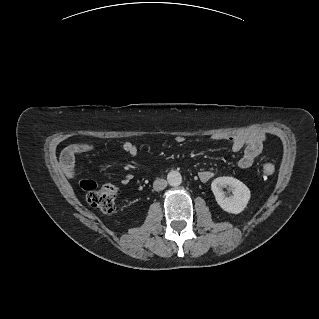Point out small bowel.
I'll return each instance as SVG.
<instances>
[{"mask_svg":"<svg viewBox=\"0 0 319 319\" xmlns=\"http://www.w3.org/2000/svg\"><path fill=\"white\" fill-rule=\"evenodd\" d=\"M214 139L219 142L228 143L233 152L243 151L242 156L237 162V166L240 169H247L253 165L262 151L264 134L259 132H230L217 134L214 136ZM122 149L131 156H135L138 151L137 147L129 140L122 141ZM197 177L201 182H208L212 179L213 172L210 170H200ZM131 178V175L126 176L122 180V184H128Z\"/></svg>","mask_w":319,"mask_h":319,"instance_id":"obj_1","label":"small bowel"}]
</instances>
